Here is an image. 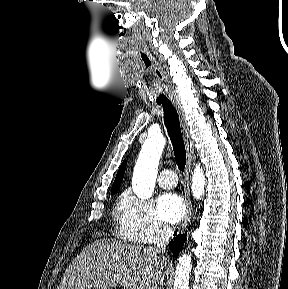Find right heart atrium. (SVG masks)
Listing matches in <instances>:
<instances>
[{
    "label": "right heart atrium",
    "instance_id": "d8ad5b80",
    "mask_svg": "<svg viewBox=\"0 0 288 289\" xmlns=\"http://www.w3.org/2000/svg\"><path fill=\"white\" fill-rule=\"evenodd\" d=\"M119 229L123 238L153 244L168 237L169 227L159 218L151 201L125 192L118 204Z\"/></svg>",
    "mask_w": 288,
    "mask_h": 289
}]
</instances>
